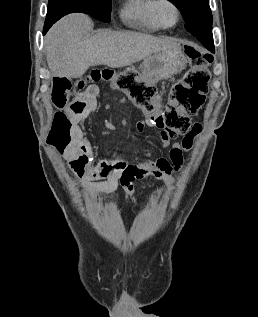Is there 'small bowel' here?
Returning <instances> with one entry per match:
<instances>
[{
	"mask_svg": "<svg viewBox=\"0 0 258 317\" xmlns=\"http://www.w3.org/2000/svg\"><path fill=\"white\" fill-rule=\"evenodd\" d=\"M96 94V87L91 86L67 107L76 124L84 121L96 110ZM145 125V122H139L136 125L137 133H141ZM200 132L201 126L194 124L182 141L175 142L171 146L170 160L158 158L153 161L146 158L137 164H130L122 159L99 158L95 145L76 125L74 139L65 148L63 154L69 160L72 171L89 197H117L118 189L121 188L135 203L133 186L135 180L152 176L164 180L170 187L174 186L172 175L183 167L186 153L192 148L194 139ZM160 144L164 148L170 145V138L162 131H160Z\"/></svg>",
	"mask_w": 258,
	"mask_h": 317,
	"instance_id": "1",
	"label": "small bowel"
}]
</instances>
